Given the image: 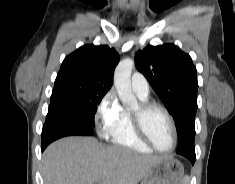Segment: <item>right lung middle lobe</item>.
Masks as SVG:
<instances>
[{
	"instance_id": "dd1d6c3e",
	"label": "right lung middle lobe",
	"mask_w": 235,
	"mask_h": 184,
	"mask_svg": "<svg viewBox=\"0 0 235 184\" xmlns=\"http://www.w3.org/2000/svg\"><path fill=\"white\" fill-rule=\"evenodd\" d=\"M109 89L102 87H66L52 92L50 105L64 108L94 127L97 105Z\"/></svg>"
}]
</instances>
